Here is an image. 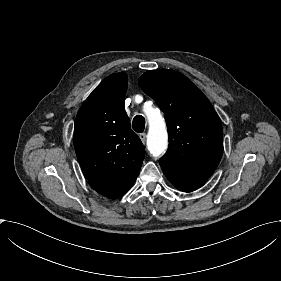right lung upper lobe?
<instances>
[{"label": "right lung upper lobe", "instance_id": "1", "mask_svg": "<svg viewBox=\"0 0 281 281\" xmlns=\"http://www.w3.org/2000/svg\"><path fill=\"white\" fill-rule=\"evenodd\" d=\"M127 75L105 78L81 106L74 128V147L89 185L115 198L139 174L144 146L131 130L125 112Z\"/></svg>", "mask_w": 281, "mask_h": 281}]
</instances>
